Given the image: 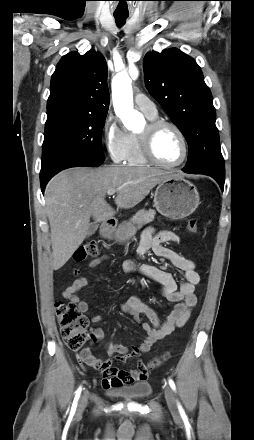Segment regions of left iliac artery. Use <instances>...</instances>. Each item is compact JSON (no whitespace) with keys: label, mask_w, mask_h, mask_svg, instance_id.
Wrapping results in <instances>:
<instances>
[{"label":"left iliac artery","mask_w":254,"mask_h":440,"mask_svg":"<svg viewBox=\"0 0 254 440\" xmlns=\"http://www.w3.org/2000/svg\"><path fill=\"white\" fill-rule=\"evenodd\" d=\"M169 385H170V387L172 388L173 391H176V386H175V383H174V381L172 379H169ZM178 408H179L180 412H183V409H182L180 403H178Z\"/></svg>","instance_id":"left-iliac-artery-1"}]
</instances>
